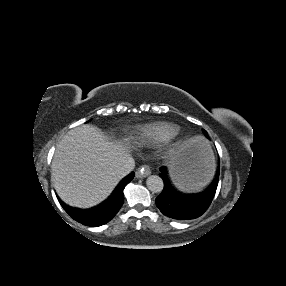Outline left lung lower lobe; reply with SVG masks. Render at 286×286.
Segmentation results:
<instances>
[{"label":"left lung lower lobe","mask_w":286,"mask_h":286,"mask_svg":"<svg viewBox=\"0 0 286 286\" xmlns=\"http://www.w3.org/2000/svg\"><path fill=\"white\" fill-rule=\"evenodd\" d=\"M160 171L164 189L156 198V205L164 215L178 220H189L201 216L208 209L217 189L220 165L211 185L204 192L191 195L182 194L173 188L165 167H161Z\"/></svg>","instance_id":"0a47b994"}]
</instances>
